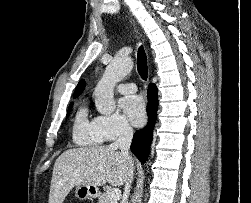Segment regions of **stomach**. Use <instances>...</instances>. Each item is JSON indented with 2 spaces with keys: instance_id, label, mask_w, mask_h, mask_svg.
<instances>
[{
  "instance_id": "stomach-1",
  "label": "stomach",
  "mask_w": 251,
  "mask_h": 203,
  "mask_svg": "<svg viewBox=\"0 0 251 203\" xmlns=\"http://www.w3.org/2000/svg\"><path fill=\"white\" fill-rule=\"evenodd\" d=\"M75 193L76 197L80 200L95 198L99 195L98 188L91 185H78Z\"/></svg>"
}]
</instances>
